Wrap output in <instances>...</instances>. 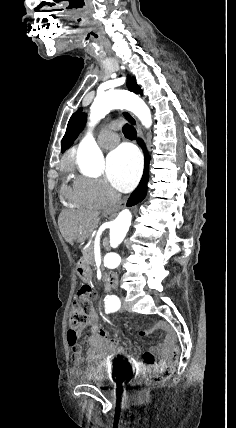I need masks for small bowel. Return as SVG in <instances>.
I'll list each match as a JSON object with an SVG mask.
<instances>
[{"label": "small bowel", "mask_w": 236, "mask_h": 428, "mask_svg": "<svg viewBox=\"0 0 236 428\" xmlns=\"http://www.w3.org/2000/svg\"><path fill=\"white\" fill-rule=\"evenodd\" d=\"M89 326L90 335L88 338L89 348L87 350L86 359L89 361L111 360L116 357H125L127 363L137 369L156 368L163 365L167 358L166 345H157L143 354V360L139 361L132 355H128L124 347L116 339H110L104 328L99 324V319L95 310L89 306L85 322L76 330V336L80 335L82 329ZM160 329L167 333V337H171V330L165 323L158 325ZM69 342V341H68ZM69 345L72 348V358L75 363L83 361L81 347L76 342L74 345Z\"/></svg>", "instance_id": "obj_1"}]
</instances>
